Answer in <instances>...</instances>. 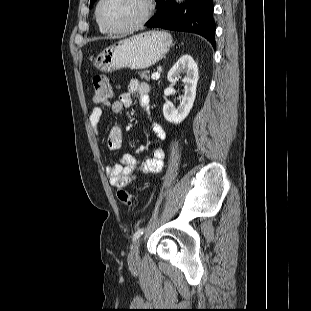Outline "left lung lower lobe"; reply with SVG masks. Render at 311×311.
<instances>
[{
    "mask_svg": "<svg viewBox=\"0 0 311 311\" xmlns=\"http://www.w3.org/2000/svg\"><path fill=\"white\" fill-rule=\"evenodd\" d=\"M158 11L145 25L148 28L191 32L205 37L215 47V23L212 0H155Z\"/></svg>",
    "mask_w": 311,
    "mask_h": 311,
    "instance_id": "obj_1",
    "label": "left lung lower lobe"
}]
</instances>
